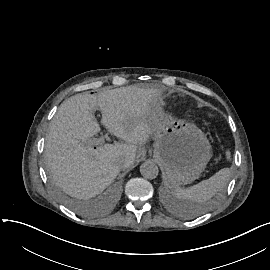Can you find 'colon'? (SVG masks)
<instances>
[{
  "mask_svg": "<svg viewBox=\"0 0 270 270\" xmlns=\"http://www.w3.org/2000/svg\"><path fill=\"white\" fill-rule=\"evenodd\" d=\"M221 158H222L225 162H231V161L235 158V153H234L231 149H225V150L221 153Z\"/></svg>",
  "mask_w": 270,
  "mask_h": 270,
  "instance_id": "colon-1",
  "label": "colon"
}]
</instances>
